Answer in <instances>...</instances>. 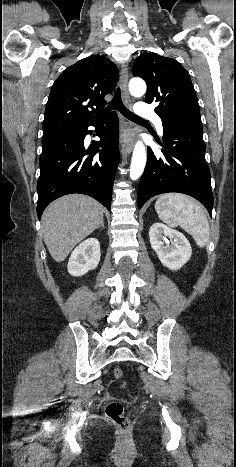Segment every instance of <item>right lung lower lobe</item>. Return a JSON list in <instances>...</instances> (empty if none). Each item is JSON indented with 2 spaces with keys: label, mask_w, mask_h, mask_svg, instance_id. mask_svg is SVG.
Here are the masks:
<instances>
[{
  "label": "right lung lower lobe",
  "mask_w": 236,
  "mask_h": 467,
  "mask_svg": "<svg viewBox=\"0 0 236 467\" xmlns=\"http://www.w3.org/2000/svg\"><path fill=\"white\" fill-rule=\"evenodd\" d=\"M89 126L99 130L101 140L94 142L91 150H86L84 138L90 133ZM118 142L119 121L114 112L85 126L42 138L37 183L38 218L51 201L71 193L89 195L110 210L119 163ZM98 147L103 148L99 153Z\"/></svg>",
  "instance_id": "right-lung-lower-lobe-1"
}]
</instances>
